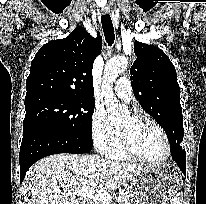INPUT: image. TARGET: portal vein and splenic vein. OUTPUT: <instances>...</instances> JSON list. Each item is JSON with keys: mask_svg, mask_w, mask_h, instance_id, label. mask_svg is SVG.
<instances>
[{"mask_svg": "<svg viewBox=\"0 0 206 204\" xmlns=\"http://www.w3.org/2000/svg\"><path fill=\"white\" fill-rule=\"evenodd\" d=\"M69 194L73 196L77 195V196L88 198V199H94V200L102 202V204H110V202L112 201L111 200L112 197L111 195H109L108 192L97 190L94 188H89V187H82L79 189H75ZM122 199H123V196L119 195L117 198V201H121Z\"/></svg>", "mask_w": 206, "mask_h": 204, "instance_id": "obj_1", "label": "portal vein and splenic vein"}]
</instances>
